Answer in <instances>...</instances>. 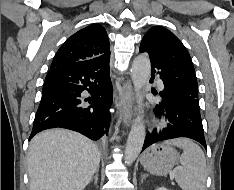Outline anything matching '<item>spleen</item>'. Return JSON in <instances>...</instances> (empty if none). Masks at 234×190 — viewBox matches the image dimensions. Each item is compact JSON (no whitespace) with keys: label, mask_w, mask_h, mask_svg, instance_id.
Listing matches in <instances>:
<instances>
[{"label":"spleen","mask_w":234,"mask_h":190,"mask_svg":"<svg viewBox=\"0 0 234 190\" xmlns=\"http://www.w3.org/2000/svg\"><path fill=\"white\" fill-rule=\"evenodd\" d=\"M183 149L179 158L181 166L175 171V180L182 190H205L207 179L206 159L202 149L186 138L164 142Z\"/></svg>","instance_id":"3e777b00"}]
</instances>
